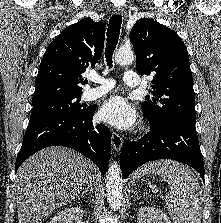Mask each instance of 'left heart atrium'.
<instances>
[{
  "mask_svg": "<svg viewBox=\"0 0 221 223\" xmlns=\"http://www.w3.org/2000/svg\"><path fill=\"white\" fill-rule=\"evenodd\" d=\"M135 108L122 96H113L103 103L98 118L118 129H128L136 121Z\"/></svg>",
  "mask_w": 221,
  "mask_h": 223,
  "instance_id": "1",
  "label": "left heart atrium"
}]
</instances>
